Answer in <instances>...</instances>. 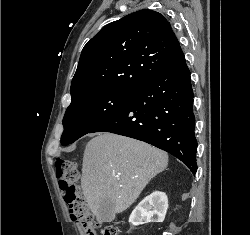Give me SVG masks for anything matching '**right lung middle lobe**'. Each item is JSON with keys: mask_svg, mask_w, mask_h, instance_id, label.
I'll return each instance as SVG.
<instances>
[{"mask_svg": "<svg viewBox=\"0 0 250 235\" xmlns=\"http://www.w3.org/2000/svg\"><path fill=\"white\" fill-rule=\"evenodd\" d=\"M132 91L96 90L71 101L63 118L61 144L66 146L116 113L132 96Z\"/></svg>", "mask_w": 250, "mask_h": 235, "instance_id": "obj_1", "label": "right lung middle lobe"}]
</instances>
